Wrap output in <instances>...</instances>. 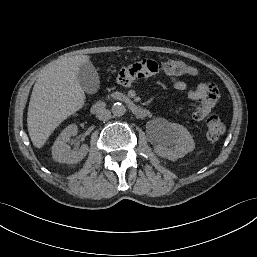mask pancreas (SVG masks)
I'll list each match as a JSON object with an SVG mask.
<instances>
[{
  "mask_svg": "<svg viewBox=\"0 0 257 257\" xmlns=\"http://www.w3.org/2000/svg\"><path fill=\"white\" fill-rule=\"evenodd\" d=\"M108 97L113 98V99H126L127 98L123 93L118 92V91L111 93Z\"/></svg>",
  "mask_w": 257,
  "mask_h": 257,
  "instance_id": "cf45deb5",
  "label": "pancreas"
}]
</instances>
